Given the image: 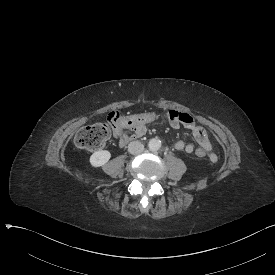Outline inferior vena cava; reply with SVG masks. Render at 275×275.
<instances>
[{"label":"inferior vena cava","mask_w":275,"mask_h":275,"mask_svg":"<svg viewBox=\"0 0 275 275\" xmlns=\"http://www.w3.org/2000/svg\"><path fill=\"white\" fill-rule=\"evenodd\" d=\"M144 150V145L140 141H132L128 145L129 153L137 155L142 153Z\"/></svg>","instance_id":"602c4592"}]
</instances>
